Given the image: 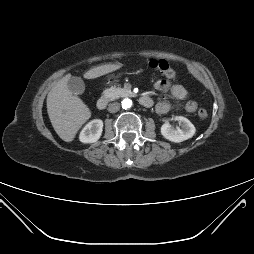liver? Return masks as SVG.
Listing matches in <instances>:
<instances>
[{
    "label": "liver",
    "instance_id": "1",
    "mask_svg": "<svg viewBox=\"0 0 254 254\" xmlns=\"http://www.w3.org/2000/svg\"><path fill=\"white\" fill-rule=\"evenodd\" d=\"M121 67L122 64L97 66L88 70L84 78H98ZM70 77L66 75L59 80L47 96V112L51 124L58 136L66 142L73 141L78 130L91 117L89 108L68 89L67 82Z\"/></svg>",
    "mask_w": 254,
    "mask_h": 254
}]
</instances>
